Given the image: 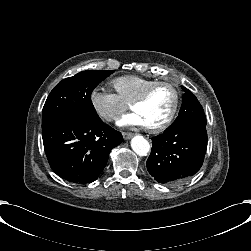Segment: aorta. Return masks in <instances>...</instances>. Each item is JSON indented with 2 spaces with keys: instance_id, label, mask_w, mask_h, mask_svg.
Segmentation results:
<instances>
[{
  "instance_id": "1",
  "label": "aorta",
  "mask_w": 251,
  "mask_h": 251,
  "mask_svg": "<svg viewBox=\"0 0 251 251\" xmlns=\"http://www.w3.org/2000/svg\"><path fill=\"white\" fill-rule=\"evenodd\" d=\"M130 145L138 155H146L150 148L149 142L142 135L133 136Z\"/></svg>"
}]
</instances>
